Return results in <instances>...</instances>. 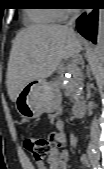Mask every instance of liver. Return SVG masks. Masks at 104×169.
Wrapping results in <instances>:
<instances>
[{
	"label": "liver",
	"instance_id": "obj_1",
	"mask_svg": "<svg viewBox=\"0 0 104 169\" xmlns=\"http://www.w3.org/2000/svg\"><path fill=\"white\" fill-rule=\"evenodd\" d=\"M82 40L62 25H32L15 37L7 68L8 95L15 102L33 80L50 77L63 59L78 55Z\"/></svg>",
	"mask_w": 104,
	"mask_h": 169
}]
</instances>
